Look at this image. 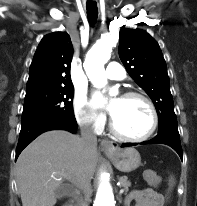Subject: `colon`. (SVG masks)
<instances>
[{
  "label": "colon",
  "mask_w": 197,
  "mask_h": 206,
  "mask_svg": "<svg viewBox=\"0 0 197 206\" xmlns=\"http://www.w3.org/2000/svg\"><path fill=\"white\" fill-rule=\"evenodd\" d=\"M153 180L157 182V181H158V177H157V176H154V177H153Z\"/></svg>",
  "instance_id": "obj_1"
}]
</instances>
